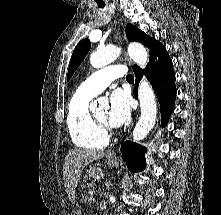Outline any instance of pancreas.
Segmentation results:
<instances>
[{
    "label": "pancreas",
    "instance_id": "1",
    "mask_svg": "<svg viewBox=\"0 0 221 215\" xmlns=\"http://www.w3.org/2000/svg\"><path fill=\"white\" fill-rule=\"evenodd\" d=\"M92 189H93V184H88L85 187V189L81 193V199H80L81 203L88 204L90 202L88 192Z\"/></svg>",
    "mask_w": 221,
    "mask_h": 215
}]
</instances>
